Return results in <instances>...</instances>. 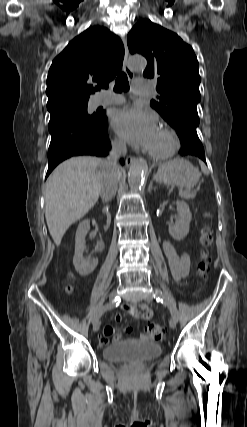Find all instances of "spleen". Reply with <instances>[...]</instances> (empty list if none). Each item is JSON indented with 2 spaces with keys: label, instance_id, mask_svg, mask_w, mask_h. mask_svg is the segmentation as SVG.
<instances>
[{
  "label": "spleen",
  "instance_id": "obj_1",
  "mask_svg": "<svg viewBox=\"0 0 247 427\" xmlns=\"http://www.w3.org/2000/svg\"><path fill=\"white\" fill-rule=\"evenodd\" d=\"M200 166H201V170H202V172L204 174H208L209 173L207 167L202 162H200Z\"/></svg>",
  "mask_w": 247,
  "mask_h": 427
}]
</instances>
